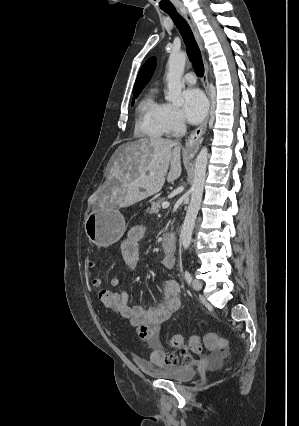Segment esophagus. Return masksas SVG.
Segmentation results:
<instances>
[{
	"mask_svg": "<svg viewBox=\"0 0 299 426\" xmlns=\"http://www.w3.org/2000/svg\"><path fill=\"white\" fill-rule=\"evenodd\" d=\"M181 13L183 14L185 19L187 20L188 24L190 25L192 32L194 34L195 40H196V42H197V44L200 48V51L202 53L203 64H204L203 86H204L205 92L207 94V97L209 99V112H208L206 119L203 121L202 124H200L190 134V136L188 137V139L186 141V150L188 152H195V151L198 150L199 145H200L201 140H202V136L206 131L207 123H208V120H209V117H210V112H211V109H212L211 95H210V89H209V79H208L209 67H208V62H207L206 57H205V50H204V46H203V41H202V38L199 34V31L197 29V26H196V23H195L193 17L186 10H182Z\"/></svg>",
	"mask_w": 299,
	"mask_h": 426,
	"instance_id": "esophagus-1",
	"label": "esophagus"
}]
</instances>
